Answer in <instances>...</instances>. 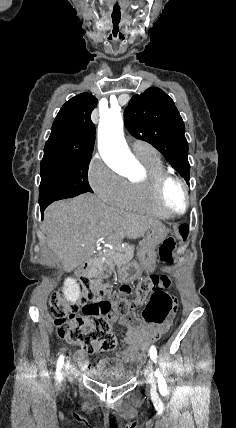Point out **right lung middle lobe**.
<instances>
[{"label": "right lung middle lobe", "instance_id": "1", "mask_svg": "<svg viewBox=\"0 0 236 428\" xmlns=\"http://www.w3.org/2000/svg\"><path fill=\"white\" fill-rule=\"evenodd\" d=\"M90 160L91 156H44L41 161L39 204L93 192L87 178Z\"/></svg>", "mask_w": 236, "mask_h": 428}]
</instances>
